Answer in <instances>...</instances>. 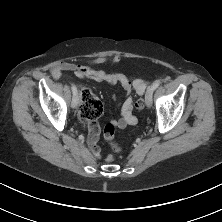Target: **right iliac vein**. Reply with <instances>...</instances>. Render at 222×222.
<instances>
[{
  "label": "right iliac vein",
  "mask_w": 222,
  "mask_h": 222,
  "mask_svg": "<svg viewBox=\"0 0 222 222\" xmlns=\"http://www.w3.org/2000/svg\"><path fill=\"white\" fill-rule=\"evenodd\" d=\"M78 103H79V97L76 94L73 96V99H72V103H71L72 108H76Z\"/></svg>",
  "instance_id": "obj_1"
}]
</instances>
